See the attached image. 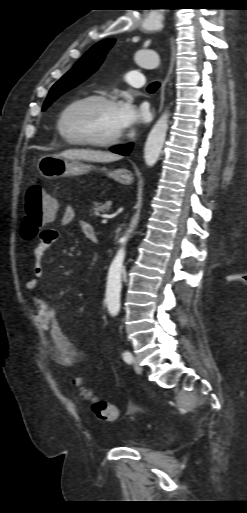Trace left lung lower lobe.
<instances>
[{
    "instance_id": "obj_1",
    "label": "left lung lower lobe",
    "mask_w": 247,
    "mask_h": 513,
    "mask_svg": "<svg viewBox=\"0 0 247 513\" xmlns=\"http://www.w3.org/2000/svg\"><path fill=\"white\" fill-rule=\"evenodd\" d=\"M132 148H133V143H129V144H126L123 146L111 148L110 150L114 153H118L120 155L127 156L130 154Z\"/></svg>"
}]
</instances>
